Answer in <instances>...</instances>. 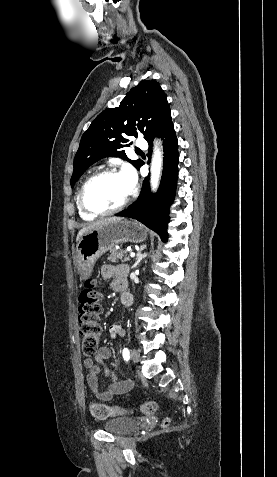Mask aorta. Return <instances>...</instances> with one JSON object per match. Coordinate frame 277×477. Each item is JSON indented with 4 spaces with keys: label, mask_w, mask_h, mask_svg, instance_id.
Here are the masks:
<instances>
[{
    "label": "aorta",
    "mask_w": 277,
    "mask_h": 477,
    "mask_svg": "<svg viewBox=\"0 0 277 477\" xmlns=\"http://www.w3.org/2000/svg\"><path fill=\"white\" fill-rule=\"evenodd\" d=\"M163 156L161 150L155 145L154 154L151 162V187L153 191H156L159 185L161 176Z\"/></svg>",
    "instance_id": "1"
}]
</instances>
